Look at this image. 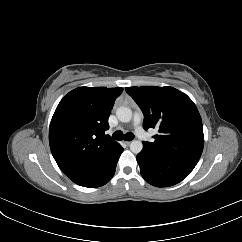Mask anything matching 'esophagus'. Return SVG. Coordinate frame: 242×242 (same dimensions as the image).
Listing matches in <instances>:
<instances>
[{
    "instance_id": "esophagus-1",
    "label": "esophagus",
    "mask_w": 242,
    "mask_h": 242,
    "mask_svg": "<svg viewBox=\"0 0 242 242\" xmlns=\"http://www.w3.org/2000/svg\"><path fill=\"white\" fill-rule=\"evenodd\" d=\"M127 146L131 144V141H123Z\"/></svg>"
}]
</instances>
